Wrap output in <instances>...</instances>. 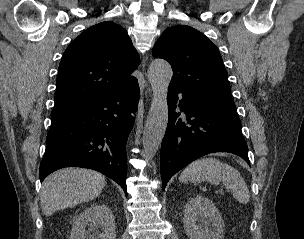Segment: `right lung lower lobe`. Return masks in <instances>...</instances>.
<instances>
[{"mask_svg": "<svg viewBox=\"0 0 304 239\" xmlns=\"http://www.w3.org/2000/svg\"><path fill=\"white\" fill-rule=\"evenodd\" d=\"M138 100L135 78L75 110L51 116L40 181L60 168H90L117 182L127 196L126 143Z\"/></svg>", "mask_w": 304, "mask_h": 239, "instance_id": "1", "label": "right lung lower lobe"}]
</instances>
